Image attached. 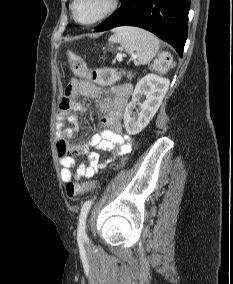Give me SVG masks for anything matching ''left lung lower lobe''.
Masks as SVG:
<instances>
[{
    "instance_id": "1",
    "label": "left lung lower lobe",
    "mask_w": 233,
    "mask_h": 284,
    "mask_svg": "<svg viewBox=\"0 0 233 284\" xmlns=\"http://www.w3.org/2000/svg\"><path fill=\"white\" fill-rule=\"evenodd\" d=\"M190 0H122L121 7L96 32L128 25L146 29L171 44L182 57Z\"/></svg>"
}]
</instances>
